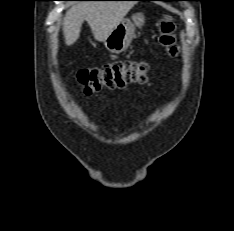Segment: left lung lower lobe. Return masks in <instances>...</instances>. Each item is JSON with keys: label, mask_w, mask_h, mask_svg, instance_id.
Listing matches in <instances>:
<instances>
[{"label": "left lung lower lobe", "mask_w": 234, "mask_h": 231, "mask_svg": "<svg viewBox=\"0 0 234 231\" xmlns=\"http://www.w3.org/2000/svg\"><path fill=\"white\" fill-rule=\"evenodd\" d=\"M162 1H172V0H162Z\"/></svg>", "instance_id": "1"}]
</instances>
